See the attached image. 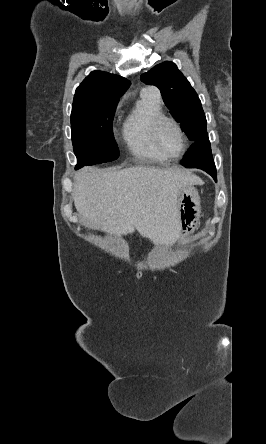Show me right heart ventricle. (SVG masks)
Instances as JSON below:
<instances>
[{
	"label": "right heart ventricle",
	"mask_w": 266,
	"mask_h": 444,
	"mask_svg": "<svg viewBox=\"0 0 266 444\" xmlns=\"http://www.w3.org/2000/svg\"><path fill=\"white\" fill-rule=\"evenodd\" d=\"M162 115L164 111L160 97L143 91L123 124V140L135 157L148 161L166 159L152 140V125Z\"/></svg>",
	"instance_id": "obj_1"
}]
</instances>
